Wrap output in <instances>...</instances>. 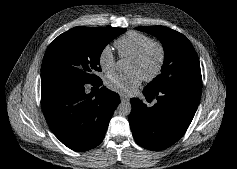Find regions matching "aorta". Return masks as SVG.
<instances>
[{
	"label": "aorta",
	"instance_id": "obj_1",
	"mask_svg": "<svg viewBox=\"0 0 237 169\" xmlns=\"http://www.w3.org/2000/svg\"><path fill=\"white\" fill-rule=\"evenodd\" d=\"M116 70L119 72H125L128 70V63L124 59H120L116 62ZM132 106L129 101H122L118 107L117 112L121 116H128L131 113Z\"/></svg>",
	"mask_w": 237,
	"mask_h": 169
}]
</instances>
